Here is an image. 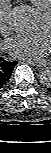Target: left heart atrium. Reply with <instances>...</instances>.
Masks as SVG:
<instances>
[{
	"mask_svg": "<svg viewBox=\"0 0 51 153\" xmlns=\"http://www.w3.org/2000/svg\"><path fill=\"white\" fill-rule=\"evenodd\" d=\"M7 50L14 57L24 60H39L51 49V35L48 30L37 34H18L6 42Z\"/></svg>",
	"mask_w": 51,
	"mask_h": 153,
	"instance_id": "obj_1",
	"label": "left heart atrium"
}]
</instances>
